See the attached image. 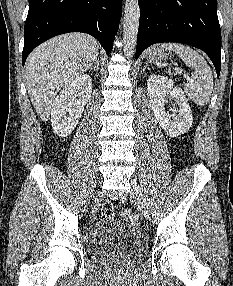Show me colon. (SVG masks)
<instances>
[{
    "instance_id": "5ec220e1",
    "label": "colon",
    "mask_w": 233,
    "mask_h": 286,
    "mask_svg": "<svg viewBox=\"0 0 233 286\" xmlns=\"http://www.w3.org/2000/svg\"><path fill=\"white\" fill-rule=\"evenodd\" d=\"M115 215H116L115 209L111 204H104L99 212V217L101 219L114 218ZM120 217L122 220L132 224H137L139 222L138 216L132 211L127 209L121 212Z\"/></svg>"
}]
</instances>
